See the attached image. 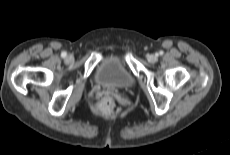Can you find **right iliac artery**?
<instances>
[{"label":"right iliac artery","instance_id":"right-iliac-artery-1","mask_svg":"<svg viewBox=\"0 0 230 155\" xmlns=\"http://www.w3.org/2000/svg\"><path fill=\"white\" fill-rule=\"evenodd\" d=\"M66 56H67V53H66V52H62V53H61V57H62V58H65Z\"/></svg>","mask_w":230,"mask_h":155}]
</instances>
